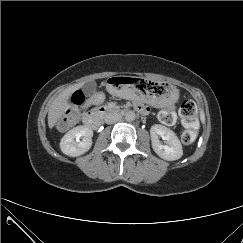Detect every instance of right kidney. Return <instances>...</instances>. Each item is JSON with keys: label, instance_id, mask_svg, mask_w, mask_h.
<instances>
[{"label": "right kidney", "instance_id": "right-kidney-1", "mask_svg": "<svg viewBox=\"0 0 243 243\" xmlns=\"http://www.w3.org/2000/svg\"><path fill=\"white\" fill-rule=\"evenodd\" d=\"M92 136L93 131L91 128L81 125L77 126L63 136L60 142V149L65 155L80 156L91 148Z\"/></svg>", "mask_w": 243, "mask_h": 243}]
</instances>
